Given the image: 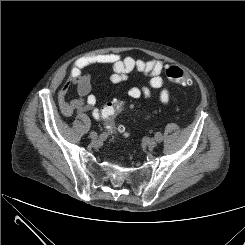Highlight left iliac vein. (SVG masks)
I'll use <instances>...</instances> for the list:
<instances>
[{
	"label": "left iliac vein",
	"instance_id": "left-iliac-vein-1",
	"mask_svg": "<svg viewBox=\"0 0 245 245\" xmlns=\"http://www.w3.org/2000/svg\"><path fill=\"white\" fill-rule=\"evenodd\" d=\"M149 148L153 149L157 146V140L154 138H151L148 143Z\"/></svg>",
	"mask_w": 245,
	"mask_h": 245
}]
</instances>
